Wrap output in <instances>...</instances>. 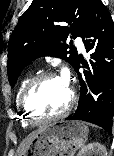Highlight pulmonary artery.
Wrapping results in <instances>:
<instances>
[{"label": "pulmonary artery", "instance_id": "obj_1", "mask_svg": "<svg viewBox=\"0 0 114 156\" xmlns=\"http://www.w3.org/2000/svg\"><path fill=\"white\" fill-rule=\"evenodd\" d=\"M76 45H77L79 50H81V51L84 50V44H83V41L81 38L78 37L76 39Z\"/></svg>", "mask_w": 114, "mask_h": 156}]
</instances>
